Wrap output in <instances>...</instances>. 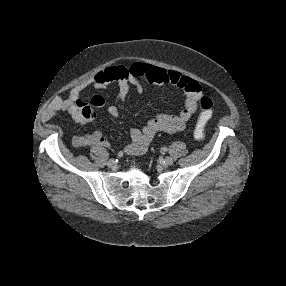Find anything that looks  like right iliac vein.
<instances>
[{
    "label": "right iliac vein",
    "instance_id": "obj_1",
    "mask_svg": "<svg viewBox=\"0 0 286 286\" xmlns=\"http://www.w3.org/2000/svg\"><path fill=\"white\" fill-rule=\"evenodd\" d=\"M107 165L108 167L114 169L116 168V161L114 159H110L108 162H107Z\"/></svg>",
    "mask_w": 286,
    "mask_h": 286
}]
</instances>
